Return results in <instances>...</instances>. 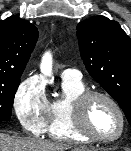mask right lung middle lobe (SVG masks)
<instances>
[{
  "label": "right lung middle lobe",
  "instance_id": "1",
  "mask_svg": "<svg viewBox=\"0 0 131 151\" xmlns=\"http://www.w3.org/2000/svg\"><path fill=\"white\" fill-rule=\"evenodd\" d=\"M20 77L21 74L0 75V121H8L11 118L14 96L20 84Z\"/></svg>",
  "mask_w": 131,
  "mask_h": 151
}]
</instances>
